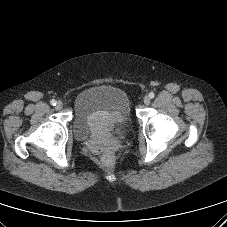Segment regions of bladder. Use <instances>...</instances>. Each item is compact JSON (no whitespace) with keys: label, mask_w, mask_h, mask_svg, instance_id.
<instances>
[{"label":"bladder","mask_w":227,"mask_h":227,"mask_svg":"<svg viewBox=\"0 0 227 227\" xmlns=\"http://www.w3.org/2000/svg\"><path fill=\"white\" fill-rule=\"evenodd\" d=\"M131 127L129 100L121 89L98 85L84 89L76 96L73 133L78 140L101 134L122 136Z\"/></svg>","instance_id":"obj_1"}]
</instances>
